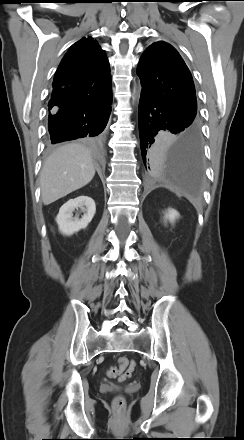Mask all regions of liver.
Listing matches in <instances>:
<instances>
[{
	"label": "liver",
	"instance_id": "liver-1",
	"mask_svg": "<svg viewBox=\"0 0 244 440\" xmlns=\"http://www.w3.org/2000/svg\"><path fill=\"white\" fill-rule=\"evenodd\" d=\"M95 175L90 149L78 143L58 147L44 162L40 173L44 205L87 185Z\"/></svg>",
	"mask_w": 244,
	"mask_h": 440
}]
</instances>
